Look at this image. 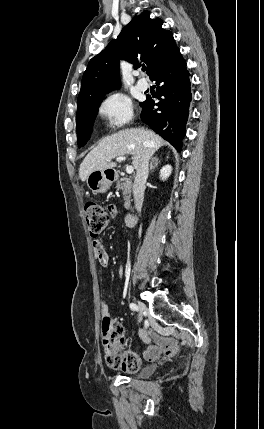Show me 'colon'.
<instances>
[{
  "mask_svg": "<svg viewBox=\"0 0 264 429\" xmlns=\"http://www.w3.org/2000/svg\"><path fill=\"white\" fill-rule=\"evenodd\" d=\"M85 218L89 233L97 237L108 225L111 216V208L104 207L96 201L89 200L85 203ZM102 343L108 354V361L114 368H119L121 357L119 350L124 344L123 329L121 325L104 314L102 319ZM124 363L127 372H135L139 368V360L134 354L125 357Z\"/></svg>",
  "mask_w": 264,
  "mask_h": 429,
  "instance_id": "obj_1",
  "label": "colon"
}]
</instances>
